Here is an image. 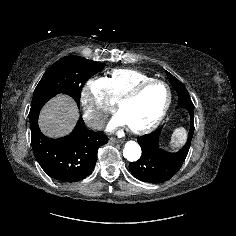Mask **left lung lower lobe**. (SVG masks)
I'll return each mask as SVG.
<instances>
[{"label":"left lung lower lobe","instance_id":"1","mask_svg":"<svg viewBox=\"0 0 236 236\" xmlns=\"http://www.w3.org/2000/svg\"><path fill=\"white\" fill-rule=\"evenodd\" d=\"M177 108L186 109L191 124L187 142L178 152H168L160 148L159 137L162 127L137 139L142 155L136 162L129 164V170L137 179L148 183H163L171 179L181 168L190 148L194 133V105L191 100L179 101Z\"/></svg>","mask_w":236,"mask_h":236}]
</instances>
